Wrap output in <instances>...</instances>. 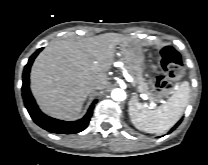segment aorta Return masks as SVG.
Here are the masks:
<instances>
[{
	"instance_id": "762f6f07",
	"label": "aorta",
	"mask_w": 208,
	"mask_h": 165,
	"mask_svg": "<svg viewBox=\"0 0 208 165\" xmlns=\"http://www.w3.org/2000/svg\"><path fill=\"white\" fill-rule=\"evenodd\" d=\"M111 97L115 101H124L126 99V93L124 90L116 88L112 91Z\"/></svg>"
}]
</instances>
